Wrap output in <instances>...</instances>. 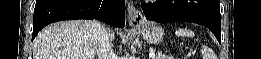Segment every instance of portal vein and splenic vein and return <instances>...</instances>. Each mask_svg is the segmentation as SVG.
Instances as JSON below:
<instances>
[{
  "instance_id": "portal-vein-and-splenic-vein-1",
  "label": "portal vein and splenic vein",
  "mask_w": 261,
  "mask_h": 59,
  "mask_svg": "<svg viewBox=\"0 0 261 59\" xmlns=\"http://www.w3.org/2000/svg\"><path fill=\"white\" fill-rule=\"evenodd\" d=\"M149 57L153 59L155 57V53L154 52H150L149 53Z\"/></svg>"
}]
</instances>
